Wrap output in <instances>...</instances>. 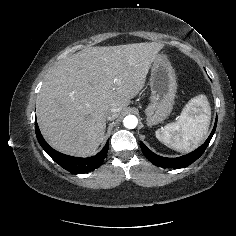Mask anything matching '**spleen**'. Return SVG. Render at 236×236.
I'll return each instance as SVG.
<instances>
[{"instance_id":"1","label":"spleen","mask_w":236,"mask_h":236,"mask_svg":"<svg viewBox=\"0 0 236 236\" xmlns=\"http://www.w3.org/2000/svg\"><path fill=\"white\" fill-rule=\"evenodd\" d=\"M210 119L209 102L206 96L198 95L185 105L177 122L159 128L155 136L173 150L190 152L204 139Z\"/></svg>"}]
</instances>
